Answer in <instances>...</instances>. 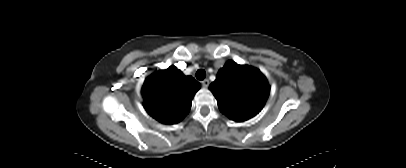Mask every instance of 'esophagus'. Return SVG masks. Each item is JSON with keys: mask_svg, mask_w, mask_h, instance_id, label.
Instances as JSON below:
<instances>
[{"mask_svg": "<svg viewBox=\"0 0 406 168\" xmlns=\"http://www.w3.org/2000/svg\"><path fill=\"white\" fill-rule=\"evenodd\" d=\"M202 86H203L204 88H207V87L209 86V80H208V79L203 80V81H202Z\"/></svg>", "mask_w": 406, "mask_h": 168, "instance_id": "obj_1", "label": "esophagus"}]
</instances>
